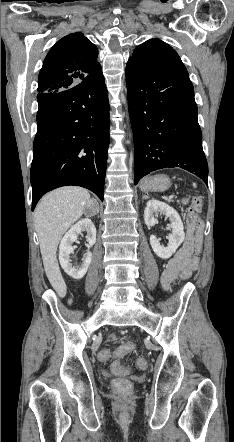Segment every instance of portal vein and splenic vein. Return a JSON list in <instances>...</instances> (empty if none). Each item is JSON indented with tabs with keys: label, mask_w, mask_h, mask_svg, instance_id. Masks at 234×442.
I'll return each instance as SVG.
<instances>
[{
	"label": "portal vein and splenic vein",
	"mask_w": 234,
	"mask_h": 442,
	"mask_svg": "<svg viewBox=\"0 0 234 442\" xmlns=\"http://www.w3.org/2000/svg\"><path fill=\"white\" fill-rule=\"evenodd\" d=\"M173 198H174V195H170V196H169V199H173Z\"/></svg>",
	"instance_id": "portal-vein-and-splenic-vein-1"
}]
</instances>
